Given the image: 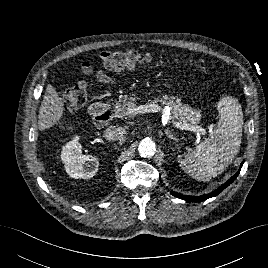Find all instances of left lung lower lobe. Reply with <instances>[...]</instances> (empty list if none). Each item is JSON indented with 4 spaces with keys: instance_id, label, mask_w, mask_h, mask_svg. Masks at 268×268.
Listing matches in <instances>:
<instances>
[{
    "instance_id": "0a47b994",
    "label": "left lung lower lobe",
    "mask_w": 268,
    "mask_h": 268,
    "mask_svg": "<svg viewBox=\"0 0 268 268\" xmlns=\"http://www.w3.org/2000/svg\"><path fill=\"white\" fill-rule=\"evenodd\" d=\"M243 163L241 164L240 166V169L239 171L234 175L232 176L226 183H224L223 185H221L218 189H216L215 191L209 193V194H205V195H201V196H188V195H183V194H180V193H177V192H173L171 191V194L180 198V199H183V200H186V201H190V202H201V201H205L206 199L210 198V197H214V196H217L219 193H221L227 186H229L235 179L236 177L238 176L240 170H241V167H242Z\"/></svg>"
}]
</instances>
